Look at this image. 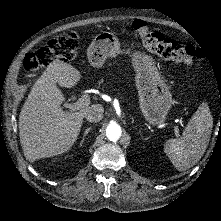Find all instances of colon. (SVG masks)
<instances>
[{"label": "colon", "mask_w": 221, "mask_h": 221, "mask_svg": "<svg viewBox=\"0 0 221 221\" xmlns=\"http://www.w3.org/2000/svg\"><path fill=\"white\" fill-rule=\"evenodd\" d=\"M141 45L149 52L158 54L165 60L194 64L199 51L193 46H184L167 38L160 32H153L147 24L136 20L132 22ZM79 36L74 33L60 34L47 45L29 53L22 61V66L27 74L37 71L57 61H69L76 56Z\"/></svg>", "instance_id": "colon-1"}]
</instances>
